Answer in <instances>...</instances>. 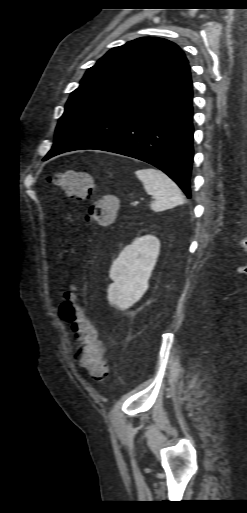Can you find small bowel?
Here are the masks:
<instances>
[{
	"label": "small bowel",
	"instance_id": "obj_1",
	"mask_svg": "<svg viewBox=\"0 0 247 513\" xmlns=\"http://www.w3.org/2000/svg\"><path fill=\"white\" fill-rule=\"evenodd\" d=\"M66 252H69V250L64 251V253H66ZM61 255H62V254H60V256H61ZM76 361H77V360H76Z\"/></svg>",
	"mask_w": 247,
	"mask_h": 513
}]
</instances>
